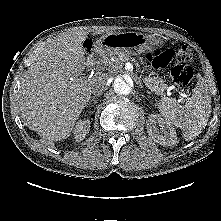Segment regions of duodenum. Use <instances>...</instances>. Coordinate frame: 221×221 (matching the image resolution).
Wrapping results in <instances>:
<instances>
[{
    "mask_svg": "<svg viewBox=\"0 0 221 221\" xmlns=\"http://www.w3.org/2000/svg\"><path fill=\"white\" fill-rule=\"evenodd\" d=\"M100 58H101L100 52H92L87 58L88 65L92 66L97 64Z\"/></svg>",
    "mask_w": 221,
    "mask_h": 221,
    "instance_id": "obj_1",
    "label": "duodenum"
}]
</instances>
